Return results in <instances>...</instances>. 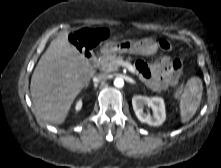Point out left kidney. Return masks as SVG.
I'll return each mask as SVG.
<instances>
[{
    "mask_svg": "<svg viewBox=\"0 0 221 168\" xmlns=\"http://www.w3.org/2000/svg\"><path fill=\"white\" fill-rule=\"evenodd\" d=\"M133 110L137 118L142 123H147L150 126H160L165 118V104L161 97H147L142 95H135L132 98ZM151 107L153 114L150 115L144 112V106Z\"/></svg>",
    "mask_w": 221,
    "mask_h": 168,
    "instance_id": "left-kidney-1",
    "label": "left kidney"
}]
</instances>
